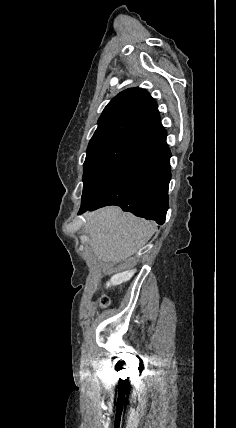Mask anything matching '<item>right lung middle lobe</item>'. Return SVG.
<instances>
[{"instance_id": "obj_1", "label": "right lung middle lobe", "mask_w": 236, "mask_h": 428, "mask_svg": "<svg viewBox=\"0 0 236 428\" xmlns=\"http://www.w3.org/2000/svg\"><path fill=\"white\" fill-rule=\"evenodd\" d=\"M143 142H126L87 156L84 162L82 205L92 203L130 167Z\"/></svg>"}]
</instances>
